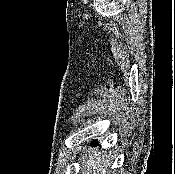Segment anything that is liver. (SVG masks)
I'll return each instance as SVG.
<instances>
[{"label": "liver", "instance_id": "1", "mask_svg": "<svg viewBox=\"0 0 175 174\" xmlns=\"http://www.w3.org/2000/svg\"><path fill=\"white\" fill-rule=\"evenodd\" d=\"M84 161L85 164L83 166L82 174H110L108 169L110 168L111 162L107 160V157L106 159L105 157H100L94 149L88 150V156H85Z\"/></svg>", "mask_w": 175, "mask_h": 174}]
</instances>
